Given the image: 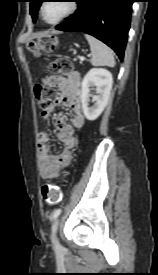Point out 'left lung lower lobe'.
Here are the masks:
<instances>
[{"label":"left lung lower lobe","mask_w":158,"mask_h":275,"mask_svg":"<svg viewBox=\"0 0 158 275\" xmlns=\"http://www.w3.org/2000/svg\"><path fill=\"white\" fill-rule=\"evenodd\" d=\"M77 11L55 28L83 31L111 47L123 60L134 0H77Z\"/></svg>","instance_id":"left-lung-lower-lobe-1"}]
</instances>
